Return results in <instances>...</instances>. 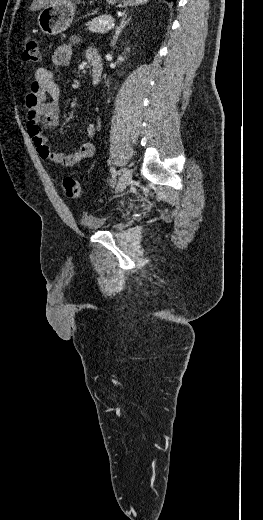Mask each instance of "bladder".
<instances>
[{"mask_svg": "<svg viewBox=\"0 0 263 520\" xmlns=\"http://www.w3.org/2000/svg\"><path fill=\"white\" fill-rule=\"evenodd\" d=\"M122 218L117 216H94L84 214L80 217V224L88 230H103L117 227Z\"/></svg>", "mask_w": 263, "mask_h": 520, "instance_id": "obj_1", "label": "bladder"}]
</instances>
